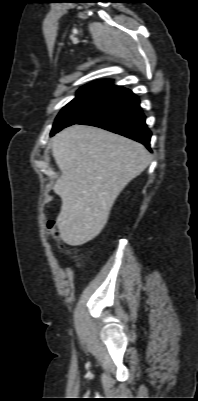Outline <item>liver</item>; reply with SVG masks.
<instances>
[{"mask_svg":"<svg viewBox=\"0 0 198 401\" xmlns=\"http://www.w3.org/2000/svg\"><path fill=\"white\" fill-rule=\"evenodd\" d=\"M52 154L61 171L53 187L62 200L56 224L60 238L71 246L102 231L118 195L151 161L142 144L84 125L56 134Z\"/></svg>","mask_w":198,"mask_h":401,"instance_id":"1","label":"liver"}]
</instances>
